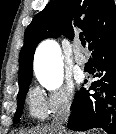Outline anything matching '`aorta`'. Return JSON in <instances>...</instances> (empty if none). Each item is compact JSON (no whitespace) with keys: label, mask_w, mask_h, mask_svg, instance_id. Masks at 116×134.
<instances>
[{"label":"aorta","mask_w":116,"mask_h":134,"mask_svg":"<svg viewBox=\"0 0 116 134\" xmlns=\"http://www.w3.org/2000/svg\"><path fill=\"white\" fill-rule=\"evenodd\" d=\"M35 74L42 86L56 90L63 84V62L60 46L54 40L39 44L34 57Z\"/></svg>","instance_id":"762f6f07"}]
</instances>
